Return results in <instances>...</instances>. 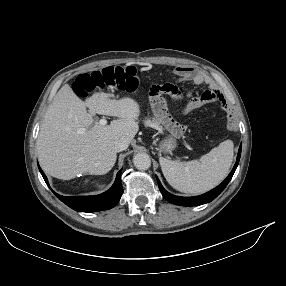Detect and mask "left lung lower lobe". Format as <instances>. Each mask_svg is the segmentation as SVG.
Returning <instances> with one entry per match:
<instances>
[{
	"label": "left lung lower lobe",
	"instance_id": "obj_1",
	"mask_svg": "<svg viewBox=\"0 0 286 286\" xmlns=\"http://www.w3.org/2000/svg\"><path fill=\"white\" fill-rule=\"evenodd\" d=\"M241 156V145L239 147V151H238V155H237V160L236 163L231 171V173L228 175V177L220 184L218 185L216 188L212 189L211 191L202 194L200 196H195V197H179V196H175L172 195L170 193H168L161 185L159 179L157 178V182H158V186L159 189L162 193V195L165 197L166 200H168L169 202L176 204V205H181V206H198V205H202L205 203H208L212 200H214L223 190L224 188L227 186V184L229 183V181L231 180L237 166L239 163V159Z\"/></svg>",
	"mask_w": 286,
	"mask_h": 286
}]
</instances>
